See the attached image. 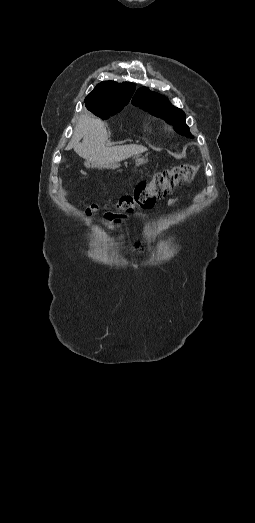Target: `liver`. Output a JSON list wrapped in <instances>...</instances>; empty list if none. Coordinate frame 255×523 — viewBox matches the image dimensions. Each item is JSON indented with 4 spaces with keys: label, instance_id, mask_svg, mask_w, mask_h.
<instances>
[{
    "label": "liver",
    "instance_id": "1",
    "mask_svg": "<svg viewBox=\"0 0 255 523\" xmlns=\"http://www.w3.org/2000/svg\"><path fill=\"white\" fill-rule=\"evenodd\" d=\"M81 138H83V142H80ZM107 140L108 132L104 122L98 120V118H92L88 114H83L74 128L73 138L70 140L66 150H72L73 148L74 152L80 158L87 160V162L97 164L99 168H112V170L118 168L116 166L118 162L147 152V148L136 146V144L107 148Z\"/></svg>",
    "mask_w": 255,
    "mask_h": 523
}]
</instances>
